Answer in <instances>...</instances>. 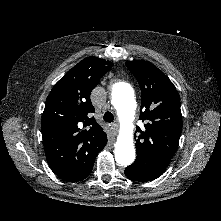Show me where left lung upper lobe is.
I'll use <instances>...</instances> for the list:
<instances>
[{"label": "left lung upper lobe", "mask_w": 221, "mask_h": 221, "mask_svg": "<svg viewBox=\"0 0 221 221\" xmlns=\"http://www.w3.org/2000/svg\"><path fill=\"white\" fill-rule=\"evenodd\" d=\"M141 88L140 119L144 129L136 127L137 157L131 167L152 171L165 170L175 154L182 131L179 94L155 65L148 61L126 62Z\"/></svg>", "instance_id": "5c2ea615"}]
</instances>
